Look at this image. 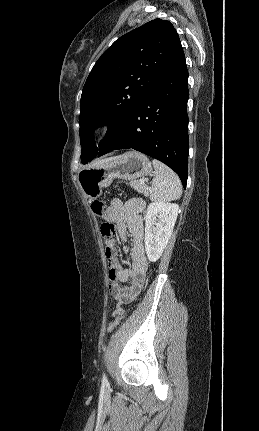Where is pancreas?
Segmentation results:
<instances>
[{"instance_id":"pancreas-1","label":"pancreas","mask_w":259,"mask_h":431,"mask_svg":"<svg viewBox=\"0 0 259 431\" xmlns=\"http://www.w3.org/2000/svg\"><path fill=\"white\" fill-rule=\"evenodd\" d=\"M130 186L139 193H142L145 197L149 196L147 185L145 183H140V180L130 182Z\"/></svg>"}]
</instances>
